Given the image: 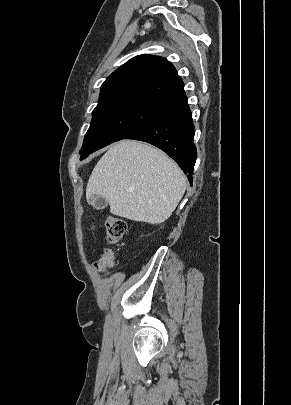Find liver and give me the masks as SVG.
Returning a JSON list of instances; mask_svg holds the SVG:
<instances>
[{"instance_id": "1", "label": "liver", "mask_w": 291, "mask_h": 405, "mask_svg": "<svg viewBox=\"0 0 291 405\" xmlns=\"http://www.w3.org/2000/svg\"><path fill=\"white\" fill-rule=\"evenodd\" d=\"M186 190L178 165L161 150L134 140L112 145L94 167L87 201L103 197L113 215L160 224L167 220Z\"/></svg>"}]
</instances>
